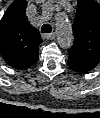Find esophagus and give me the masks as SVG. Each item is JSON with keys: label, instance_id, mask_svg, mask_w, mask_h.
<instances>
[{"label": "esophagus", "instance_id": "1", "mask_svg": "<svg viewBox=\"0 0 100 118\" xmlns=\"http://www.w3.org/2000/svg\"><path fill=\"white\" fill-rule=\"evenodd\" d=\"M55 36H56V35H55L54 32L49 33V34H43V35H42V37H43L44 39H48V40H52V39H54Z\"/></svg>", "mask_w": 100, "mask_h": 118}]
</instances>
